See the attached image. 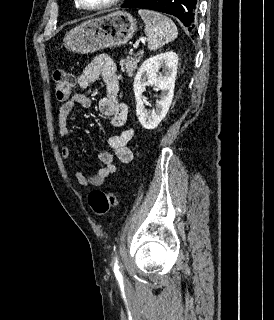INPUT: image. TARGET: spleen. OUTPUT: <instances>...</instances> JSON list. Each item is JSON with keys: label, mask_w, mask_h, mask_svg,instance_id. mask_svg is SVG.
<instances>
[{"label": "spleen", "mask_w": 274, "mask_h": 320, "mask_svg": "<svg viewBox=\"0 0 274 320\" xmlns=\"http://www.w3.org/2000/svg\"><path fill=\"white\" fill-rule=\"evenodd\" d=\"M145 24V34L148 36V50H159L178 36L177 28L167 16H162L153 10H138Z\"/></svg>", "instance_id": "spleen-1"}]
</instances>
